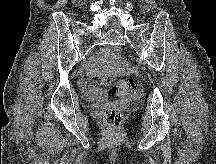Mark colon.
<instances>
[{"label": "colon", "instance_id": "obj_1", "mask_svg": "<svg viewBox=\"0 0 216 164\" xmlns=\"http://www.w3.org/2000/svg\"><path fill=\"white\" fill-rule=\"evenodd\" d=\"M109 94L119 98V101L111 103L103 112L106 124L116 128L123 121L122 109L130 102L139 98L142 94L141 88L132 79H121L118 81L105 82Z\"/></svg>", "mask_w": 216, "mask_h": 164}]
</instances>
